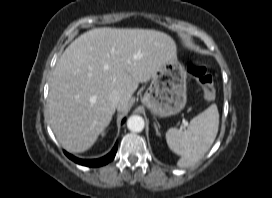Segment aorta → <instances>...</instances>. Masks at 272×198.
<instances>
[{"label": "aorta", "instance_id": "762f6f07", "mask_svg": "<svg viewBox=\"0 0 272 198\" xmlns=\"http://www.w3.org/2000/svg\"><path fill=\"white\" fill-rule=\"evenodd\" d=\"M144 119L138 115H132L127 120V127L132 132H141L144 129Z\"/></svg>", "mask_w": 272, "mask_h": 198}]
</instances>
